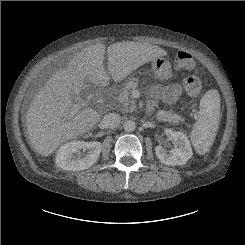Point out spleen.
I'll list each match as a JSON object with an SVG mask.
<instances>
[{
  "label": "spleen",
  "mask_w": 245,
  "mask_h": 245,
  "mask_svg": "<svg viewBox=\"0 0 245 245\" xmlns=\"http://www.w3.org/2000/svg\"><path fill=\"white\" fill-rule=\"evenodd\" d=\"M220 121V95L217 90L207 91L200 100L198 120L190 138L195 151L203 155L213 145Z\"/></svg>",
  "instance_id": "3e777b00"
}]
</instances>
